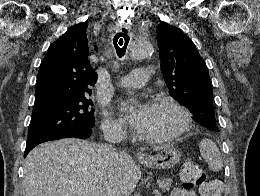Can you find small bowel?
Returning <instances> with one entry per match:
<instances>
[{"mask_svg": "<svg viewBox=\"0 0 260 196\" xmlns=\"http://www.w3.org/2000/svg\"><path fill=\"white\" fill-rule=\"evenodd\" d=\"M171 196H196L195 192L187 191L183 188H175L171 194Z\"/></svg>", "mask_w": 260, "mask_h": 196, "instance_id": "c3829d8e", "label": "small bowel"}]
</instances>
